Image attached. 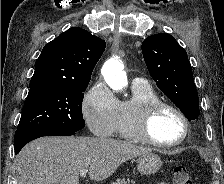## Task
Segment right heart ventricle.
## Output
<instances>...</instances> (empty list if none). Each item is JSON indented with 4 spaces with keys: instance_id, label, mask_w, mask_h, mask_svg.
Here are the masks:
<instances>
[{
    "instance_id": "right-heart-ventricle-1",
    "label": "right heart ventricle",
    "mask_w": 224,
    "mask_h": 184,
    "mask_svg": "<svg viewBox=\"0 0 224 184\" xmlns=\"http://www.w3.org/2000/svg\"><path fill=\"white\" fill-rule=\"evenodd\" d=\"M158 99L151 86L133 84L132 97L119 101L114 133L130 141H140L133 129L135 115L146 103Z\"/></svg>"
}]
</instances>
